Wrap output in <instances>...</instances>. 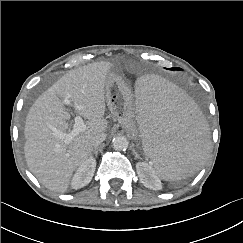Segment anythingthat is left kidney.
Instances as JSON below:
<instances>
[{"label":"left kidney","instance_id":"left-kidney-1","mask_svg":"<svg viewBox=\"0 0 243 243\" xmlns=\"http://www.w3.org/2000/svg\"><path fill=\"white\" fill-rule=\"evenodd\" d=\"M136 169L140 181L145 187L153 190L161 189V181L151 166L147 165L145 162H138L136 164Z\"/></svg>","mask_w":243,"mask_h":243}]
</instances>
